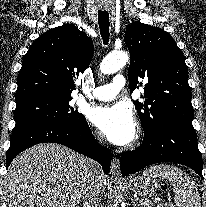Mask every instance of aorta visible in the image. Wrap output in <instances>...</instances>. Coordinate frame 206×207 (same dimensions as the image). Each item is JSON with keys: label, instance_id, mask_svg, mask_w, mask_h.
<instances>
[{"label": "aorta", "instance_id": "aorta-1", "mask_svg": "<svg viewBox=\"0 0 206 207\" xmlns=\"http://www.w3.org/2000/svg\"><path fill=\"white\" fill-rule=\"evenodd\" d=\"M128 54L124 51L109 53L100 64V71L103 74H112L123 68L128 62Z\"/></svg>", "mask_w": 206, "mask_h": 207}]
</instances>
